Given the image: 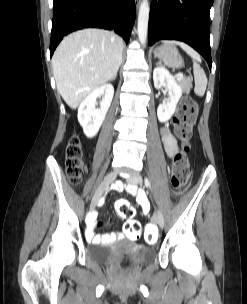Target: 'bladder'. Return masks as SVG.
<instances>
[{
	"mask_svg": "<svg viewBox=\"0 0 247 304\" xmlns=\"http://www.w3.org/2000/svg\"><path fill=\"white\" fill-rule=\"evenodd\" d=\"M133 250L136 255L143 260L151 259L155 255L153 248L133 246ZM87 253L92 260L105 263L111 258L113 248L112 245L108 244H95L88 247Z\"/></svg>",
	"mask_w": 247,
	"mask_h": 304,
	"instance_id": "1",
	"label": "bladder"
}]
</instances>
